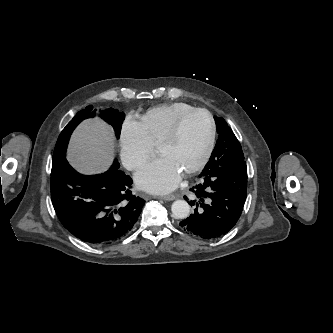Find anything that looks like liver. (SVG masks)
Listing matches in <instances>:
<instances>
[{
  "instance_id": "1",
  "label": "liver",
  "mask_w": 333,
  "mask_h": 333,
  "mask_svg": "<svg viewBox=\"0 0 333 333\" xmlns=\"http://www.w3.org/2000/svg\"><path fill=\"white\" fill-rule=\"evenodd\" d=\"M114 158V137L110 126L99 118L83 121L74 131L67 159L79 172L105 171Z\"/></svg>"
}]
</instances>
